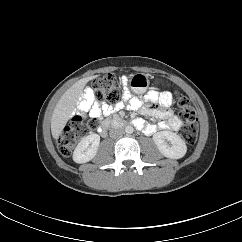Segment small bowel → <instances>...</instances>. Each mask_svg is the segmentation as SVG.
<instances>
[{
	"mask_svg": "<svg viewBox=\"0 0 242 242\" xmlns=\"http://www.w3.org/2000/svg\"><path fill=\"white\" fill-rule=\"evenodd\" d=\"M145 100L151 103H158L159 105H145L141 99L132 96L127 88L124 89L123 101L119 102L115 107H110L106 104L100 105L94 100L92 91L87 90L80 101L79 107L83 111H89L92 117L100 118L102 114L109 115L126 105L130 110L138 111L144 116L162 120L157 125H153L145 123L141 119H136V126L146 134H152L157 129L178 130L181 127V119L169 108L173 102V96L170 92L160 93L155 90H150L145 95Z\"/></svg>",
	"mask_w": 242,
	"mask_h": 242,
	"instance_id": "1",
	"label": "small bowel"
}]
</instances>
